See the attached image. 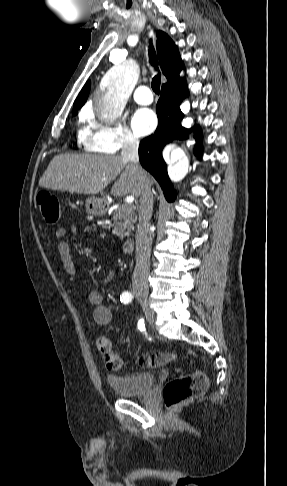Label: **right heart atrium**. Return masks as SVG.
Returning a JSON list of instances; mask_svg holds the SVG:
<instances>
[{"instance_id":"right-heart-atrium-1","label":"right heart atrium","mask_w":287,"mask_h":486,"mask_svg":"<svg viewBox=\"0 0 287 486\" xmlns=\"http://www.w3.org/2000/svg\"><path fill=\"white\" fill-rule=\"evenodd\" d=\"M85 122L89 125L84 147L90 152L115 154L120 150L135 149L138 140L131 130L123 122L104 124L96 121L91 112L84 115Z\"/></svg>"}]
</instances>
